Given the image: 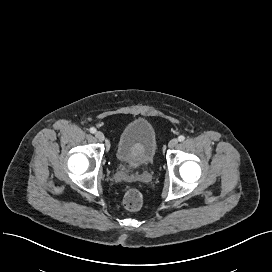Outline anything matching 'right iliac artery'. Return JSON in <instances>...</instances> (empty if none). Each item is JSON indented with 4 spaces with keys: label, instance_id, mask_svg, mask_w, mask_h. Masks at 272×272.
Instances as JSON below:
<instances>
[{
    "label": "right iliac artery",
    "instance_id": "82829eb1",
    "mask_svg": "<svg viewBox=\"0 0 272 272\" xmlns=\"http://www.w3.org/2000/svg\"><path fill=\"white\" fill-rule=\"evenodd\" d=\"M89 130H90L91 133H95L96 132V129L94 127H91Z\"/></svg>",
    "mask_w": 272,
    "mask_h": 272
}]
</instances>
